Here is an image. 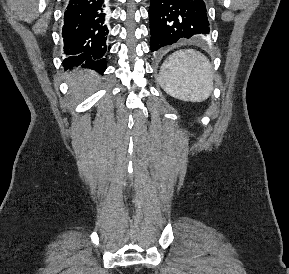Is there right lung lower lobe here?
Masks as SVG:
<instances>
[{
	"mask_svg": "<svg viewBox=\"0 0 289 274\" xmlns=\"http://www.w3.org/2000/svg\"><path fill=\"white\" fill-rule=\"evenodd\" d=\"M106 0H68L62 30L65 68L82 65L103 73L108 35Z\"/></svg>",
	"mask_w": 289,
	"mask_h": 274,
	"instance_id": "1",
	"label": "right lung lower lobe"
}]
</instances>
